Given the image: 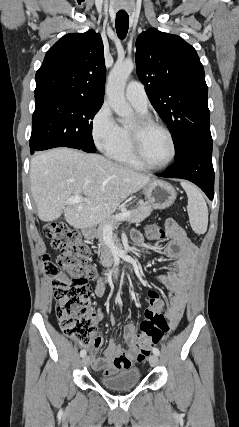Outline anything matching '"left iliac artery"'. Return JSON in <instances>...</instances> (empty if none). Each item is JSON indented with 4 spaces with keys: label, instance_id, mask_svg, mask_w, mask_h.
Wrapping results in <instances>:
<instances>
[{
    "label": "left iliac artery",
    "instance_id": "44dca946",
    "mask_svg": "<svg viewBox=\"0 0 239 427\" xmlns=\"http://www.w3.org/2000/svg\"><path fill=\"white\" fill-rule=\"evenodd\" d=\"M153 353H154L155 355H157V356H159V355H160V351H159V349H158V348H154V349H153Z\"/></svg>",
    "mask_w": 239,
    "mask_h": 427
}]
</instances>
